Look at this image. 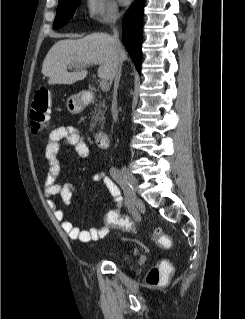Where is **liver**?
I'll list each match as a JSON object with an SVG mask.
<instances>
[{
	"label": "liver",
	"instance_id": "obj_1",
	"mask_svg": "<svg viewBox=\"0 0 245 319\" xmlns=\"http://www.w3.org/2000/svg\"><path fill=\"white\" fill-rule=\"evenodd\" d=\"M122 62L127 59L126 52L122 49L118 55L113 45V38L104 33H93L82 39H65L56 42L47 53L42 74L48 78V84L71 85L83 80L87 71L68 72L69 65H99L98 76L112 81L118 58Z\"/></svg>",
	"mask_w": 245,
	"mask_h": 319
}]
</instances>
